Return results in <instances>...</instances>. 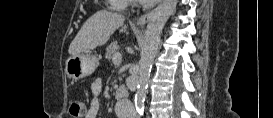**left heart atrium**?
<instances>
[{"label": "left heart atrium", "instance_id": "left-heart-atrium-1", "mask_svg": "<svg viewBox=\"0 0 273 118\" xmlns=\"http://www.w3.org/2000/svg\"><path fill=\"white\" fill-rule=\"evenodd\" d=\"M141 2L153 4V3L157 2V0H141Z\"/></svg>", "mask_w": 273, "mask_h": 118}]
</instances>
